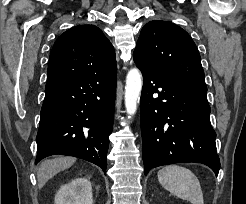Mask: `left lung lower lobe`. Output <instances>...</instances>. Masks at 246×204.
Masks as SVG:
<instances>
[{
  "instance_id": "0a47b994",
  "label": "left lung lower lobe",
  "mask_w": 246,
  "mask_h": 204,
  "mask_svg": "<svg viewBox=\"0 0 246 204\" xmlns=\"http://www.w3.org/2000/svg\"><path fill=\"white\" fill-rule=\"evenodd\" d=\"M140 70L144 79L140 118L145 174L162 165L196 162L218 175L220 160L206 84Z\"/></svg>"
}]
</instances>
